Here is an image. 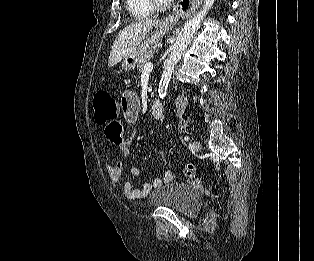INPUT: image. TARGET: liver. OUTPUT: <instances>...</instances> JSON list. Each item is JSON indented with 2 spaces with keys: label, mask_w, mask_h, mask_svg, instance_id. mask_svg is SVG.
<instances>
[{
  "label": "liver",
  "mask_w": 314,
  "mask_h": 261,
  "mask_svg": "<svg viewBox=\"0 0 314 261\" xmlns=\"http://www.w3.org/2000/svg\"><path fill=\"white\" fill-rule=\"evenodd\" d=\"M158 20H143L132 23L122 29L111 48L108 66L113 67L122 59L130 55L145 39L153 27L160 25Z\"/></svg>",
  "instance_id": "1"
}]
</instances>
